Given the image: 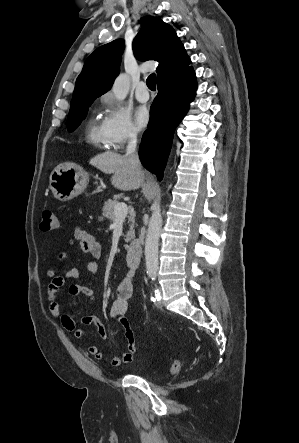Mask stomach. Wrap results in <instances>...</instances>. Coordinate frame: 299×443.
<instances>
[{
    "mask_svg": "<svg viewBox=\"0 0 299 443\" xmlns=\"http://www.w3.org/2000/svg\"><path fill=\"white\" fill-rule=\"evenodd\" d=\"M88 181L89 176L81 166L66 163L52 171L49 187L57 200L65 202L81 194Z\"/></svg>",
    "mask_w": 299,
    "mask_h": 443,
    "instance_id": "1",
    "label": "stomach"
}]
</instances>
